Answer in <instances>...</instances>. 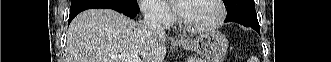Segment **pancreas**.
<instances>
[{"instance_id": "1", "label": "pancreas", "mask_w": 331, "mask_h": 62, "mask_svg": "<svg viewBox=\"0 0 331 62\" xmlns=\"http://www.w3.org/2000/svg\"><path fill=\"white\" fill-rule=\"evenodd\" d=\"M188 61L189 62H204V60H201V58H197V57H194V56H189Z\"/></svg>"}]
</instances>
